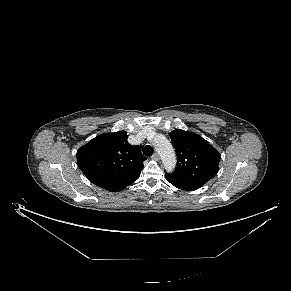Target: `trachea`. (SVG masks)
Instances as JSON below:
<instances>
[{"instance_id":"trachea-1","label":"trachea","mask_w":291,"mask_h":291,"mask_svg":"<svg viewBox=\"0 0 291 291\" xmlns=\"http://www.w3.org/2000/svg\"><path fill=\"white\" fill-rule=\"evenodd\" d=\"M143 154L145 156H151L153 154V149L150 145H146L144 148H143Z\"/></svg>"}]
</instances>
